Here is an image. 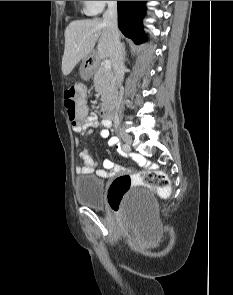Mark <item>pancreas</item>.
<instances>
[{
  "label": "pancreas",
  "instance_id": "1",
  "mask_svg": "<svg viewBox=\"0 0 233 295\" xmlns=\"http://www.w3.org/2000/svg\"><path fill=\"white\" fill-rule=\"evenodd\" d=\"M95 90L104 100H109L114 92V76L111 70L99 66L94 74Z\"/></svg>",
  "mask_w": 233,
  "mask_h": 295
}]
</instances>
